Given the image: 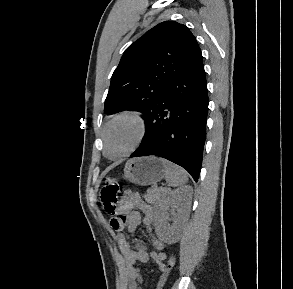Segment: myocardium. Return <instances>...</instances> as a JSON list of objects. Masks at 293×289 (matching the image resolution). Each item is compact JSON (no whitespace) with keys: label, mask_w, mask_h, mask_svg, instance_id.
<instances>
[{"label":"myocardium","mask_w":293,"mask_h":289,"mask_svg":"<svg viewBox=\"0 0 293 289\" xmlns=\"http://www.w3.org/2000/svg\"><path fill=\"white\" fill-rule=\"evenodd\" d=\"M127 119L132 121L136 126V138L133 144L121 155L119 156H109L107 153V135L110 127L118 120ZM148 131V124L147 120L140 110H124L116 115H114L105 125L103 133H102V140H103V152L105 156L111 160H118L122 159L131 153H133L143 142L145 136Z\"/></svg>","instance_id":"obj_1"}]
</instances>
